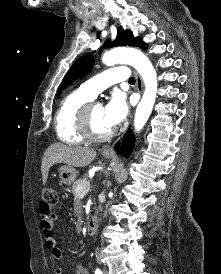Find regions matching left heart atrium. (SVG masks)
Instances as JSON below:
<instances>
[{"label": "left heart atrium", "mask_w": 221, "mask_h": 274, "mask_svg": "<svg viewBox=\"0 0 221 274\" xmlns=\"http://www.w3.org/2000/svg\"><path fill=\"white\" fill-rule=\"evenodd\" d=\"M128 113V105L120 94L114 95L106 104L103 111V123L111 130L120 124Z\"/></svg>", "instance_id": "1"}]
</instances>
